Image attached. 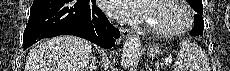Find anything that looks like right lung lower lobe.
<instances>
[{
    "instance_id": "obj_1",
    "label": "right lung lower lobe",
    "mask_w": 230,
    "mask_h": 71,
    "mask_svg": "<svg viewBox=\"0 0 230 71\" xmlns=\"http://www.w3.org/2000/svg\"><path fill=\"white\" fill-rule=\"evenodd\" d=\"M119 34L95 0H34L23 47L25 50L43 38L75 35L102 48H111Z\"/></svg>"
}]
</instances>
